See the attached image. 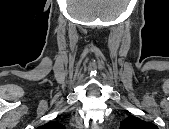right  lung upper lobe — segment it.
<instances>
[{"label": "right lung upper lobe", "mask_w": 169, "mask_h": 129, "mask_svg": "<svg viewBox=\"0 0 169 129\" xmlns=\"http://www.w3.org/2000/svg\"><path fill=\"white\" fill-rule=\"evenodd\" d=\"M43 129H63L64 126L56 121L48 122L42 126Z\"/></svg>", "instance_id": "obj_1"}]
</instances>
